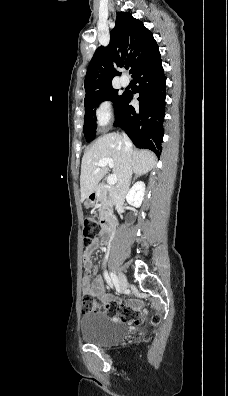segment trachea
<instances>
[{
    "label": "trachea",
    "mask_w": 228,
    "mask_h": 396,
    "mask_svg": "<svg viewBox=\"0 0 228 396\" xmlns=\"http://www.w3.org/2000/svg\"><path fill=\"white\" fill-rule=\"evenodd\" d=\"M125 68H126V69H128V68H129V66H126Z\"/></svg>",
    "instance_id": "obj_1"
}]
</instances>
